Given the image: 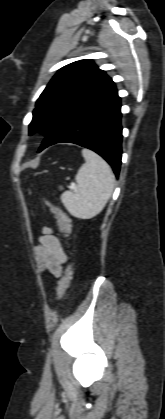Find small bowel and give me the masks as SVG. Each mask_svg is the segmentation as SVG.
Returning <instances> with one entry per match:
<instances>
[{
  "instance_id": "small-bowel-1",
  "label": "small bowel",
  "mask_w": 165,
  "mask_h": 419,
  "mask_svg": "<svg viewBox=\"0 0 165 419\" xmlns=\"http://www.w3.org/2000/svg\"><path fill=\"white\" fill-rule=\"evenodd\" d=\"M36 255L41 271L46 270L57 278L62 276L63 267L68 258L59 239L50 228L43 229V234L36 247Z\"/></svg>"
}]
</instances>
